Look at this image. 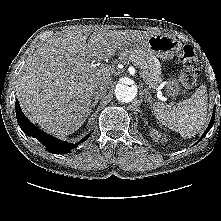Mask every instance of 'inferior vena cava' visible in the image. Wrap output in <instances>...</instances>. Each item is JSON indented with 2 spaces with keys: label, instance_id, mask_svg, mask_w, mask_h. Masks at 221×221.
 Returning a JSON list of instances; mask_svg holds the SVG:
<instances>
[{
  "label": "inferior vena cava",
  "instance_id": "1",
  "mask_svg": "<svg viewBox=\"0 0 221 221\" xmlns=\"http://www.w3.org/2000/svg\"><path fill=\"white\" fill-rule=\"evenodd\" d=\"M106 92H107V89L104 86H99L94 90L93 97L94 99L101 98L105 96Z\"/></svg>",
  "mask_w": 221,
  "mask_h": 221
}]
</instances>
